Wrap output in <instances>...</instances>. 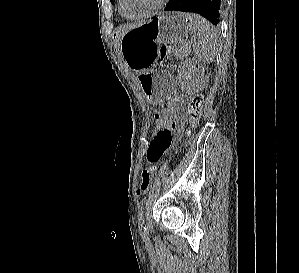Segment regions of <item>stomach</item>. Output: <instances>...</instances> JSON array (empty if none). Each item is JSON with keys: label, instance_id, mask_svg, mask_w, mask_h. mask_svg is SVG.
Instances as JSON below:
<instances>
[{"label": "stomach", "instance_id": "0dacf381", "mask_svg": "<svg viewBox=\"0 0 299 273\" xmlns=\"http://www.w3.org/2000/svg\"><path fill=\"white\" fill-rule=\"evenodd\" d=\"M188 31L185 14L170 12L153 17L121 38V56L125 64L136 71L145 101H169L171 75L158 69L156 61H159L161 43L177 42Z\"/></svg>", "mask_w": 299, "mask_h": 273}]
</instances>
